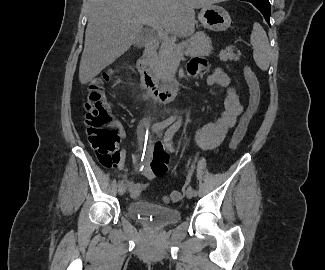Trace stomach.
<instances>
[{
	"label": "stomach",
	"instance_id": "obj_1",
	"mask_svg": "<svg viewBox=\"0 0 325 270\" xmlns=\"http://www.w3.org/2000/svg\"><path fill=\"white\" fill-rule=\"evenodd\" d=\"M201 24L213 31H223L230 27L231 17L228 12L216 5L203 6L199 13Z\"/></svg>",
	"mask_w": 325,
	"mask_h": 270
}]
</instances>
